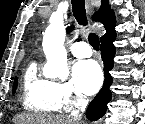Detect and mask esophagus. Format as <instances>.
Wrapping results in <instances>:
<instances>
[{"mask_svg":"<svg viewBox=\"0 0 145 124\" xmlns=\"http://www.w3.org/2000/svg\"><path fill=\"white\" fill-rule=\"evenodd\" d=\"M87 9L90 10V5L93 3V0H86Z\"/></svg>","mask_w":145,"mask_h":124,"instance_id":"esophagus-1","label":"esophagus"}]
</instances>
